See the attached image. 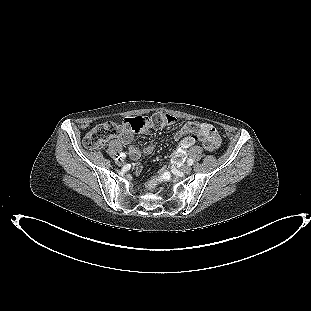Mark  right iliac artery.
Segmentation results:
<instances>
[{
  "mask_svg": "<svg viewBox=\"0 0 311 311\" xmlns=\"http://www.w3.org/2000/svg\"><path fill=\"white\" fill-rule=\"evenodd\" d=\"M119 157H121L122 159H125L126 155H125V153H120Z\"/></svg>",
  "mask_w": 311,
  "mask_h": 311,
  "instance_id": "obj_1",
  "label": "right iliac artery"
}]
</instances>
